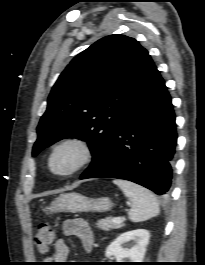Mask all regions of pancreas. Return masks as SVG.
<instances>
[{
	"label": "pancreas",
	"mask_w": 205,
	"mask_h": 265,
	"mask_svg": "<svg viewBox=\"0 0 205 265\" xmlns=\"http://www.w3.org/2000/svg\"><path fill=\"white\" fill-rule=\"evenodd\" d=\"M123 226L124 225L122 223H114L112 218L109 217L97 221V227L105 231L110 229H119Z\"/></svg>",
	"instance_id": "obj_1"
}]
</instances>
